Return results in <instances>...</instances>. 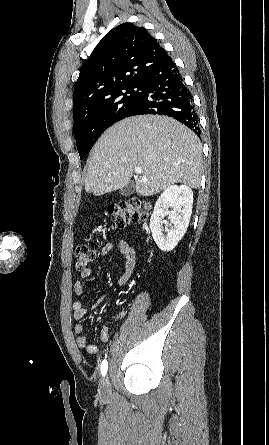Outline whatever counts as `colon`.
<instances>
[{
	"label": "colon",
	"instance_id": "colon-1",
	"mask_svg": "<svg viewBox=\"0 0 269 445\" xmlns=\"http://www.w3.org/2000/svg\"><path fill=\"white\" fill-rule=\"evenodd\" d=\"M149 205L137 198L112 204L108 207L107 213L111 217L112 225L115 228H123L130 223H140L147 218ZM97 251L89 245H79L75 250L76 268L84 270L96 260Z\"/></svg>",
	"mask_w": 269,
	"mask_h": 445
}]
</instances>
